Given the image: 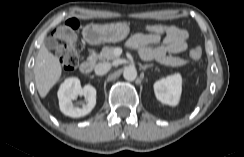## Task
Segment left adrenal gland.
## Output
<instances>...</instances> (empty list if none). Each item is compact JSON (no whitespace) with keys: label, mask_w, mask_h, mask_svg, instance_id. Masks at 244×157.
I'll use <instances>...</instances> for the list:
<instances>
[{"label":"left adrenal gland","mask_w":244,"mask_h":157,"mask_svg":"<svg viewBox=\"0 0 244 157\" xmlns=\"http://www.w3.org/2000/svg\"><path fill=\"white\" fill-rule=\"evenodd\" d=\"M153 67V64H146V65H140V68L142 70H146L147 68Z\"/></svg>","instance_id":"a2214340"}]
</instances>
